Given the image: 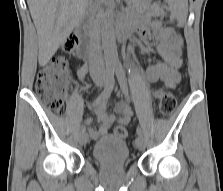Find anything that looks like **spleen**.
I'll use <instances>...</instances> for the list:
<instances>
[{"label": "spleen", "mask_w": 223, "mask_h": 191, "mask_svg": "<svg viewBox=\"0 0 223 191\" xmlns=\"http://www.w3.org/2000/svg\"><path fill=\"white\" fill-rule=\"evenodd\" d=\"M172 16L181 23H184L188 14V2L187 0H167Z\"/></svg>", "instance_id": "obj_1"}]
</instances>
